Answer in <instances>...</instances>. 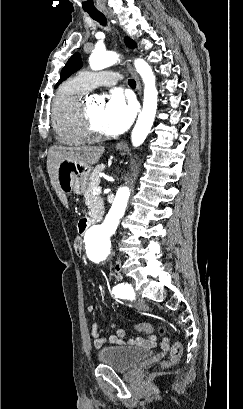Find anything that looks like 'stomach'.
<instances>
[{
  "label": "stomach",
  "mask_w": 243,
  "mask_h": 409,
  "mask_svg": "<svg viewBox=\"0 0 243 409\" xmlns=\"http://www.w3.org/2000/svg\"><path fill=\"white\" fill-rule=\"evenodd\" d=\"M90 170V167L73 161L62 160L57 167V181L60 190L64 194H83L86 190Z\"/></svg>",
  "instance_id": "1"
}]
</instances>
